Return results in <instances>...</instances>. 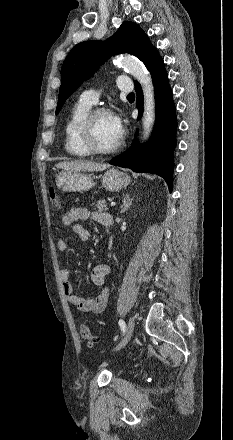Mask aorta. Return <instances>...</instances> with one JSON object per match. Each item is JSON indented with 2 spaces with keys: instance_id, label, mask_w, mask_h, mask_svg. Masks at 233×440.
<instances>
[{
  "instance_id": "1",
  "label": "aorta",
  "mask_w": 233,
  "mask_h": 440,
  "mask_svg": "<svg viewBox=\"0 0 233 440\" xmlns=\"http://www.w3.org/2000/svg\"><path fill=\"white\" fill-rule=\"evenodd\" d=\"M118 64L141 84L144 95V113L142 119L143 137L147 138L155 122V100L152 78L141 61L133 56L125 55L118 59Z\"/></svg>"
}]
</instances>
